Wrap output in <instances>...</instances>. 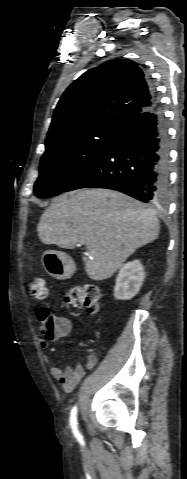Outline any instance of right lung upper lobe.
I'll return each mask as SVG.
<instances>
[{
    "mask_svg": "<svg viewBox=\"0 0 187 479\" xmlns=\"http://www.w3.org/2000/svg\"><path fill=\"white\" fill-rule=\"evenodd\" d=\"M156 101L144 72L135 62L109 61L88 70L66 89L56 106L46 143L90 126L122 129Z\"/></svg>",
    "mask_w": 187,
    "mask_h": 479,
    "instance_id": "cb5924a9",
    "label": "right lung upper lobe"
}]
</instances>
